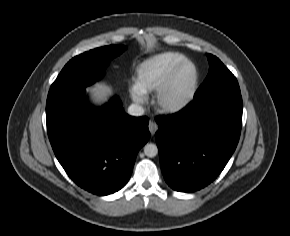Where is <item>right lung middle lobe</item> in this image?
<instances>
[{
  "label": "right lung middle lobe",
  "mask_w": 290,
  "mask_h": 236,
  "mask_svg": "<svg viewBox=\"0 0 290 236\" xmlns=\"http://www.w3.org/2000/svg\"><path fill=\"white\" fill-rule=\"evenodd\" d=\"M125 50L123 45H110L90 50L72 58L62 69L50 90L88 86L103 76L109 61Z\"/></svg>",
  "instance_id": "1"
}]
</instances>
